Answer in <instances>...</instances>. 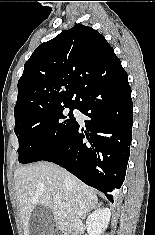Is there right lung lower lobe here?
Masks as SVG:
<instances>
[{"label":"right lung lower lobe","mask_w":155,"mask_h":235,"mask_svg":"<svg viewBox=\"0 0 155 235\" xmlns=\"http://www.w3.org/2000/svg\"><path fill=\"white\" fill-rule=\"evenodd\" d=\"M76 109L90 118L86 130L77 122L66 142L43 160L62 166L113 202L125 179L132 139L133 104L125 70L87 89Z\"/></svg>","instance_id":"98d812e1"}]
</instances>
